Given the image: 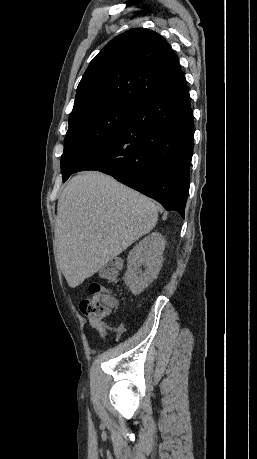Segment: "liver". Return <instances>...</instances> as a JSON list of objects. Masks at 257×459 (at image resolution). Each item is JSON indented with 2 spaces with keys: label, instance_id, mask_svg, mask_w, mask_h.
I'll return each mask as SVG.
<instances>
[{
  "label": "liver",
  "instance_id": "6515ba94",
  "mask_svg": "<svg viewBox=\"0 0 257 459\" xmlns=\"http://www.w3.org/2000/svg\"><path fill=\"white\" fill-rule=\"evenodd\" d=\"M158 207L112 177L71 179L57 205L55 238L62 273L75 288L157 224Z\"/></svg>",
  "mask_w": 257,
  "mask_h": 459
}]
</instances>
